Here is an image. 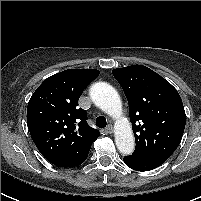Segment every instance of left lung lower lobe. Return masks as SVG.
Returning a JSON list of instances; mask_svg holds the SVG:
<instances>
[{"instance_id":"0a47b994","label":"left lung lower lobe","mask_w":201,"mask_h":201,"mask_svg":"<svg viewBox=\"0 0 201 201\" xmlns=\"http://www.w3.org/2000/svg\"><path fill=\"white\" fill-rule=\"evenodd\" d=\"M167 159H151V160H143L137 159L132 156H125L124 162L130 168L137 170V171H149L152 170L161 164H163Z\"/></svg>"}]
</instances>
